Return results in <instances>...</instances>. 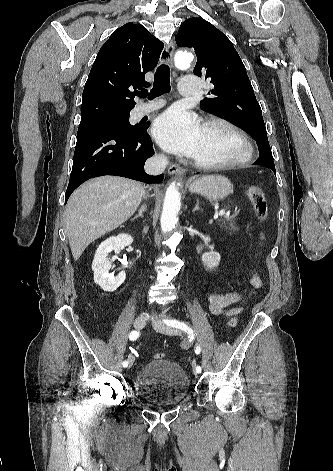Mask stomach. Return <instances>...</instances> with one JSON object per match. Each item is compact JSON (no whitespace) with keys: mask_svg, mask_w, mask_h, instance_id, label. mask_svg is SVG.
Listing matches in <instances>:
<instances>
[{"mask_svg":"<svg viewBox=\"0 0 333 471\" xmlns=\"http://www.w3.org/2000/svg\"><path fill=\"white\" fill-rule=\"evenodd\" d=\"M189 190L192 193L200 194L209 200L219 201L227 197L232 190L229 179L222 175H203L194 180Z\"/></svg>","mask_w":333,"mask_h":471,"instance_id":"stomach-1","label":"stomach"}]
</instances>
